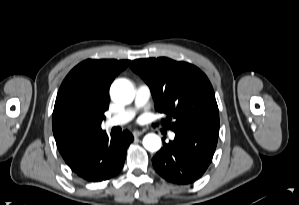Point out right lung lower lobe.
<instances>
[{
  "label": "right lung lower lobe",
  "mask_w": 299,
  "mask_h": 205,
  "mask_svg": "<svg viewBox=\"0 0 299 205\" xmlns=\"http://www.w3.org/2000/svg\"><path fill=\"white\" fill-rule=\"evenodd\" d=\"M133 139L127 130L119 137L102 135L78 150L67 165L87 181L108 180L121 171L127 148Z\"/></svg>",
  "instance_id": "1"
}]
</instances>
